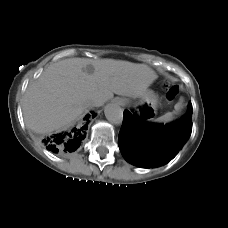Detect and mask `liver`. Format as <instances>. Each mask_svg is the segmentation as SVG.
I'll return each instance as SVG.
<instances>
[{
  "label": "liver",
  "instance_id": "1",
  "mask_svg": "<svg viewBox=\"0 0 228 228\" xmlns=\"http://www.w3.org/2000/svg\"><path fill=\"white\" fill-rule=\"evenodd\" d=\"M92 64L93 73L86 72ZM145 64L128 61L70 58L50 65L28 86L23 99V116L28 128L47 133L68 127L87 108L102 106L114 94L141 98L156 80Z\"/></svg>",
  "mask_w": 228,
  "mask_h": 228
}]
</instances>
